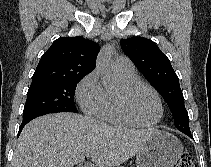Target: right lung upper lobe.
<instances>
[{
	"mask_svg": "<svg viewBox=\"0 0 211 167\" xmlns=\"http://www.w3.org/2000/svg\"><path fill=\"white\" fill-rule=\"evenodd\" d=\"M99 45L81 36L61 37L42 55L32 82L84 77L96 65Z\"/></svg>",
	"mask_w": 211,
	"mask_h": 167,
	"instance_id": "cb5924a9",
	"label": "right lung upper lobe"
}]
</instances>
